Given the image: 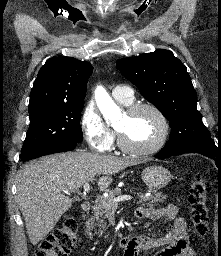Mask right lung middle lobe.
Segmentation results:
<instances>
[{"mask_svg":"<svg viewBox=\"0 0 221 256\" xmlns=\"http://www.w3.org/2000/svg\"><path fill=\"white\" fill-rule=\"evenodd\" d=\"M83 106L84 102H80L29 110L30 126L20 157L58 142H81L83 133L80 119Z\"/></svg>","mask_w":221,"mask_h":256,"instance_id":"obj_1","label":"right lung middle lobe"}]
</instances>
